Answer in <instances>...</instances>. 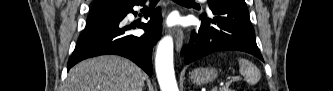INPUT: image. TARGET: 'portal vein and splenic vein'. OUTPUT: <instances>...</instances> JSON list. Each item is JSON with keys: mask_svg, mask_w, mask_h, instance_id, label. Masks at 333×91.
Listing matches in <instances>:
<instances>
[{"mask_svg": "<svg viewBox=\"0 0 333 91\" xmlns=\"http://www.w3.org/2000/svg\"><path fill=\"white\" fill-rule=\"evenodd\" d=\"M229 87V85L228 84H225V85H223L221 88L222 89H227Z\"/></svg>", "mask_w": 333, "mask_h": 91, "instance_id": "obj_1", "label": "portal vein and splenic vein"}]
</instances>
